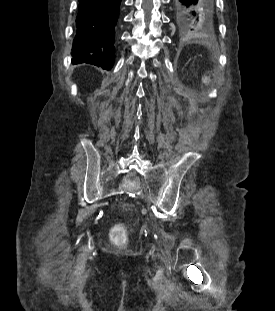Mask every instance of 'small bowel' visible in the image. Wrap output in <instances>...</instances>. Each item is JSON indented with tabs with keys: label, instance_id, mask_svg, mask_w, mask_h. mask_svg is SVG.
<instances>
[{
	"label": "small bowel",
	"instance_id": "obj_1",
	"mask_svg": "<svg viewBox=\"0 0 275 311\" xmlns=\"http://www.w3.org/2000/svg\"><path fill=\"white\" fill-rule=\"evenodd\" d=\"M198 85L199 87H207L206 91L210 92L211 91L210 87H213L214 82L213 80H199Z\"/></svg>",
	"mask_w": 275,
	"mask_h": 311
}]
</instances>
